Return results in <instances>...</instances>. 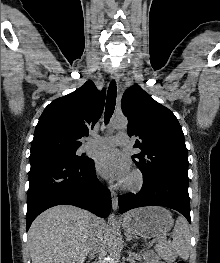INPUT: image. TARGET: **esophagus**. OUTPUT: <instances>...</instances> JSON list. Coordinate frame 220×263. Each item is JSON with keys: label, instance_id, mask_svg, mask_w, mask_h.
<instances>
[{"label": "esophagus", "instance_id": "34e87169", "mask_svg": "<svg viewBox=\"0 0 220 263\" xmlns=\"http://www.w3.org/2000/svg\"><path fill=\"white\" fill-rule=\"evenodd\" d=\"M111 78L116 82L119 80V73L117 69H113L111 73ZM111 199H112V208L113 210H117L118 208V196L116 192L111 191Z\"/></svg>", "mask_w": 220, "mask_h": 263}]
</instances>
